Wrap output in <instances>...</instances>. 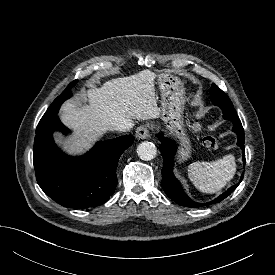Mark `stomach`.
<instances>
[{
    "label": "stomach",
    "instance_id": "1",
    "mask_svg": "<svg viewBox=\"0 0 275 275\" xmlns=\"http://www.w3.org/2000/svg\"><path fill=\"white\" fill-rule=\"evenodd\" d=\"M157 78L161 92L160 116L169 133L180 142L178 161L184 162L190 158L192 151L183 122L184 85L175 74L170 72L159 74Z\"/></svg>",
    "mask_w": 275,
    "mask_h": 275
}]
</instances>
